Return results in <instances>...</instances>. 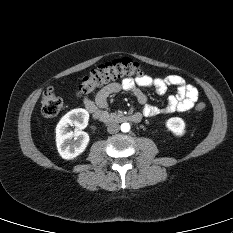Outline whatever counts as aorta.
Instances as JSON below:
<instances>
[{"label": "aorta", "mask_w": 233, "mask_h": 233, "mask_svg": "<svg viewBox=\"0 0 233 233\" xmlns=\"http://www.w3.org/2000/svg\"><path fill=\"white\" fill-rule=\"evenodd\" d=\"M120 128H121L122 132H128V131H130V125H129V123H122L121 126H120Z\"/></svg>", "instance_id": "obj_1"}]
</instances>
